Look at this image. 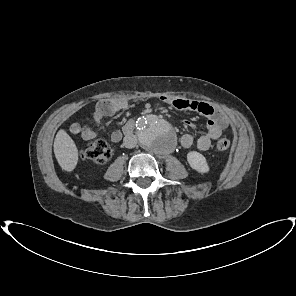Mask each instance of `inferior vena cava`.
Masks as SVG:
<instances>
[{
    "label": "inferior vena cava",
    "instance_id": "inferior-vena-cava-1",
    "mask_svg": "<svg viewBox=\"0 0 296 296\" xmlns=\"http://www.w3.org/2000/svg\"><path fill=\"white\" fill-rule=\"evenodd\" d=\"M123 144L126 148H134L137 144V137L134 134H128L124 137Z\"/></svg>",
    "mask_w": 296,
    "mask_h": 296
}]
</instances>
